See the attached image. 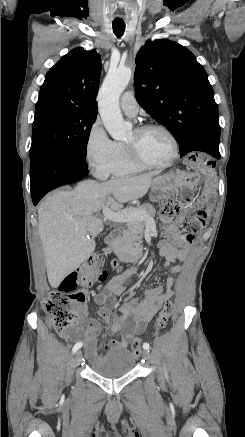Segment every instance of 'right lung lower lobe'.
I'll return each mask as SVG.
<instances>
[{"instance_id":"right-lung-lower-lobe-1","label":"right lung lower lobe","mask_w":245,"mask_h":437,"mask_svg":"<svg viewBox=\"0 0 245 437\" xmlns=\"http://www.w3.org/2000/svg\"><path fill=\"white\" fill-rule=\"evenodd\" d=\"M88 174L86 161H70L49 155L31 165V196L36 205L50 190L76 182Z\"/></svg>"}]
</instances>
